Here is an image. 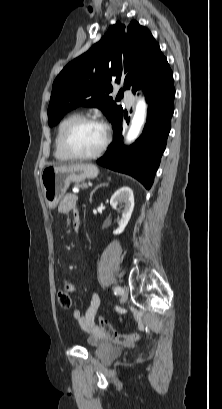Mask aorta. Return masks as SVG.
<instances>
[{
    "mask_svg": "<svg viewBox=\"0 0 222 409\" xmlns=\"http://www.w3.org/2000/svg\"><path fill=\"white\" fill-rule=\"evenodd\" d=\"M146 110L147 106L144 100L139 101L136 105V110L131 121V126L126 136L127 143H132L140 135L146 119Z\"/></svg>",
    "mask_w": 222,
    "mask_h": 409,
    "instance_id": "762f6f07",
    "label": "aorta"
}]
</instances>
